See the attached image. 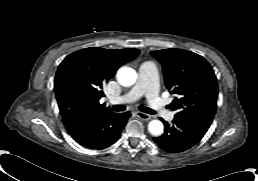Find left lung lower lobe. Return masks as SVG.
<instances>
[{"label":"left lung lower lobe","mask_w":258,"mask_h":181,"mask_svg":"<svg viewBox=\"0 0 258 181\" xmlns=\"http://www.w3.org/2000/svg\"><path fill=\"white\" fill-rule=\"evenodd\" d=\"M165 132L153 140L162 150L169 153L183 152L198 143L211 123L195 118L174 117L173 125L163 121Z\"/></svg>","instance_id":"0a47b994"}]
</instances>
